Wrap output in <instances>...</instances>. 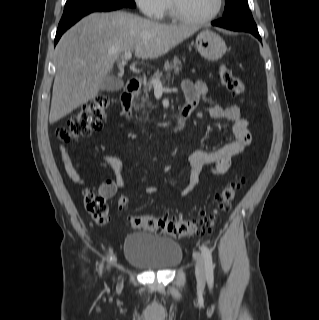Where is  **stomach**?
<instances>
[{
	"label": "stomach",
	"mask_w": 319,
	"mask_h": 320,
	"mask_svg": "<svg viewBox=\"0 0 319 320\" xmlns=\"http://www.w3.org/2000/svg\"><path fill=\"white\" fill-rule=\"evenodd\" d=\"M196 48L200 55L209 61L219 60L227 50L220 35L209 29H204L197 35Z\"/></svg>",
	"instance_id": "stomach-1"
}]
</instances>
